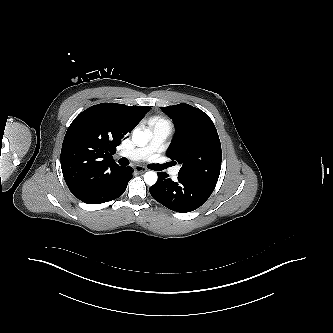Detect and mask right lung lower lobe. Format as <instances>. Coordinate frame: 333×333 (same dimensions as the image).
<instances>
[{
  "label": "right lung lower lobe",
  "mask_w": 333,
  "mask_h": 333,
  "mask_svg": "<svg viewBox=\"0 0 333 333\" xmlns=\"http://www.w3.org/2000/svg\"><path fill=\"white\" fill-rule=\"evenodd\" d=\"M131 178V167H119L117 170L90 185L77 198L88 204H100L114 200L124 193Z\"/></svg>",
  "instance_id": "1"
}]
</instances>
